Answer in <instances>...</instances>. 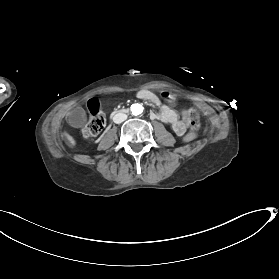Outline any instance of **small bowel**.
Returning <instances> with one entry per match:
<instances>
[{
    "instance_id": "obj_1",
    "label": "small bowel",
    "mask_w": 279,
    "mask_h": 279,
    "mask_svg": "<svg viewBox=\"0 0 279 279\" xmlns=\"http://www.w3.org/2000/svg\"><path fill=\"white\" fill-rule=\"evenodd\" d=\"M161 94L167 103H162L158 96L151 91L140 92L139 96L160 107L159 112L151 113V117L153 119H160L162 121L171 123L175 133L180 136L183 135L186 131V125L183 121L178 119L176 111L169 106V104L175 102V96L168 91H162Z\"/></svg>"
}]
</instances>
